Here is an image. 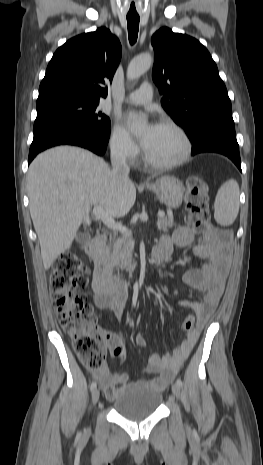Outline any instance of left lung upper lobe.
<instances>
[{"instance_id": "5c2ea615", "label": "left lung upper lobe", "mask_w": 263, "mask_h": 465, "mask_svg": "<svg viewBox=\"0 0 263 465\" xmlns=\"http://www.w3.org/2000/svg\"><path fill=\"white\" fill-rule=\"evenodd\" d=\"M153 80L161 104L194 142L216 124H234L231 101L208 50L195 38L167 27L151 39Z\"/></svg>"}]
</instances>
